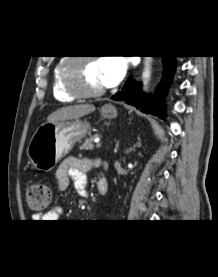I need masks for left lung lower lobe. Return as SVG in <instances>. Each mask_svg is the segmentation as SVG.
<instances>
[{
	"mask_svg": "<svg viewBox=\"0 0 218 277\" xmlns=\"http://www.w3.org/2000/svg\"><path fill=\"white\" fill-rule=\"evenodd\" d=\"M174 56H163V63L166 69L165 79H170L175 70ZM164 82L161 83L156 91V95L149 100L140 91V84L136 85L132 79H129L121 92L115 94L112 98L114 100L127 99L126 103L140 108L146 113H151L160 118L165 116L164 103L162 95L164 92Z\"/></svg>",
	"mask_w": 218,
	"mask_h": 277,
	"instance_id": "obj_1",
	"label": "left lung lower lobe"
}]
</instances>
